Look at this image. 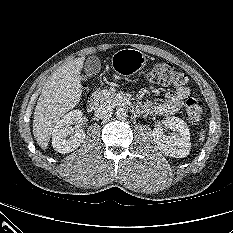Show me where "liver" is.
<instances>
[{"label": "liver", "instance_id": "1", "mask_svg": "<svg viewBox=\"0 0 233 233\" xmlns=\"http://www.w3.org/2000/svg\"><path fill=\"white\" fill-rule=\"evenodd\" d=\"M85 57H79L57 69L47 80L34 112L33 135L46 149L57 121L80 101L81 70Z\"/></svg>", "mask_w": 233, "mask_h": 233}]
</instances>
